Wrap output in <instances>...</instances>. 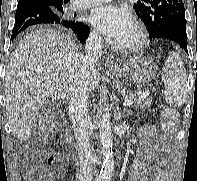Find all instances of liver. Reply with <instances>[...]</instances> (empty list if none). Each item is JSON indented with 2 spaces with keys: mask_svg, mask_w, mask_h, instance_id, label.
<instances>
[{
  "mask_svg": "<svg viewBox=\"0 0 197 181\" xmlns=\"http://www.w3.org/2000/svg\"><path fill=\"white\" fill-rule=\"evenodd\" d=\"M83 54L70 36L38 29L17 45L5 75L6 113L12 133L27 140L44 102L70 99L81 73ZM57 74V75H56ZM90 90L100 84L95 67L86 78Z\"/></svg>",
  "mask_w": 197,
  "mask_h": 181,
  "instance_id": "6515ba94",
  "label": "liver"
}]
</instances>
